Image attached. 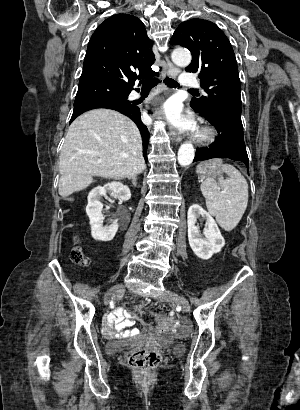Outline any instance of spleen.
Returning a JSON list of instances; mask_svg holds the SVG:
<instances>
[{
	"label": "spleen",
	"mask_w": 300,
	"mask_h": 410,
	"mask_svg": "<svg viewBox=\"0 0 300 410\" xmlns=\"http://www.w3.org/2000/svg\"><path fill=\"white\" fill-rule=\"evenodd\" d=\"M229 176L218 182L212 178L204 180L200 186L206 199L209 213L226 231L233 230L241 220L248 203V184L240 171L230 164L222 165Z\"/></svg>",
	"instance_id": "1"
}]
</instances>
